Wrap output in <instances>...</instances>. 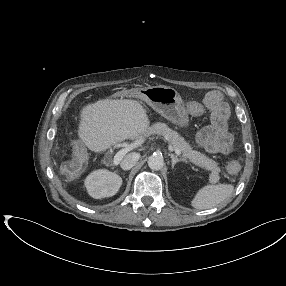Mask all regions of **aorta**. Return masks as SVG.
Segmentation results:
<instances>
[{"instance_id":"762f6f07","label":"aorta","mask_w":286,"mask_h":286,"mask_svg":"<svg viewBox=\"0 0 286 286\" xmlns=\"http://www.w3.org/2000/svg\"><path fill=\"white\" fill-rule=\"evenodd\" d=\"M148 166L152 170H160L164 166V159L159 154L151 155L148 158Z\"/></svg>"}]
</instances>
